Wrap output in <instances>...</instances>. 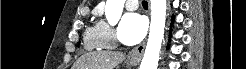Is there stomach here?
<instances>
[{"mask_svg": "<svg viewBox=\"0 0 246 69\" xmlns=\"http://www.w3.org/2000/svg\"><path fill=\"white\" fill-rule=\"evenodd\" d=\"M130 65H131V66H134V65H135V63H131Z\"/></svg>", "mask_w": 246, "mask_h": 69, "instance_id": "1", "label": "stomach"}]
</instances>
